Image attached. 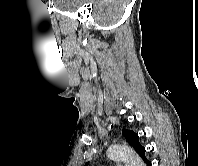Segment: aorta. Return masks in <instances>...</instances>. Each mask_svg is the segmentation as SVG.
<instances>
[{"label": "aorta", "mask_w": 198, "mask_h": 166, "mask_svg": "<svg viewBox=\"0 0 198 166\" xmlns=\"http://www.w3.org/2000/svg\"><path fill=\"white\" fill-rule=\"evenodd\" d=\"M107 156L111 160L124 162L126 166H145L140 156L128 146H110L107 150Z\"/></svg>", "instance_id": "obj_1"}]
</instances>
